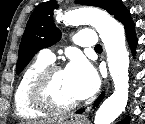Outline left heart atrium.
<instances>
[{"mask_svg": "<svg viewBox=\"0 0 145 124\" xmlns=\"http://www.w3.org/2000/svg\"><path fill=\"white\" fill-rule=\"evenodd\" d=\"M74 96L82 100L93 95L99 86L94 68L82 57H73L65 69Z\"/></svg>", "mask_w": 145, "mask_h": 124, "instance_id": "1", "label": "left heart atrium"}]
</instances>
